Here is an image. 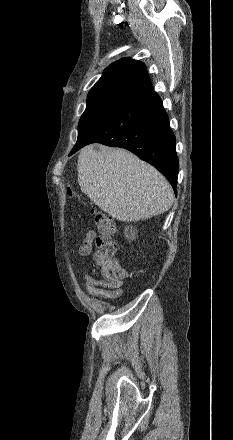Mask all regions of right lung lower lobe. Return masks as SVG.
I'll return each instance as SVG.
<instances>
[{"label": "right lung lower lobe", "instance_id": "98d812e1", "mask_svg": "<svg viewBox=\"0 0 233 440\" xmlns=\"http://www.w3.org/2000/svg\"><path fill=\"white\" fill-rule=\"evenodd\" d=\"M94 142L133 152L155 166L176 188L179 164L175 136L162 101L153 90L125 104L103 125L76 143L70 155Z\"/></svg>", "mask_w": 233, "mask_h": 440}]
</instances>
